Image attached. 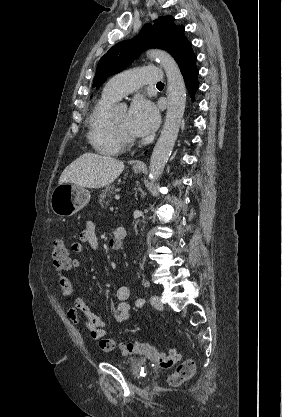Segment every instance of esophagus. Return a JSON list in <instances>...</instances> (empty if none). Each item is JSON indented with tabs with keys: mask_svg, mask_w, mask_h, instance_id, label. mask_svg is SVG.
I'll return each mask as SVG.
<instances>
[{
	"mask_svg": "<svg viewBox=\"0 0 282 417\" xmlns=\"http://www.w3.org/2000/svg\"><path fill=\"white\" fill-rule=\"evenodd\" d=\"M135 166H136V167H146L145 163H144V162H141V161H138V162L135 164Z\"/></svg>",
	"mask_w": 282,
	"mask_h": 417,
	"instance_id": "esophagus-1",
	"label": "esophagus"
}]
</instances>
